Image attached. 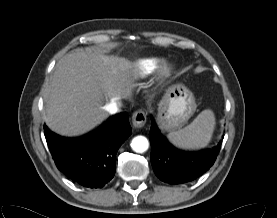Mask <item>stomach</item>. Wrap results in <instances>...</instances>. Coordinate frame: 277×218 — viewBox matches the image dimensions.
<instances>
[{
    "mask_svg": "<svg viewBox=\"0 0 277 218\" xmlns=\"http://www.w3.org/2000/svg\"><path fill=\"white\" fill-rule=\"evenodd\" d=\"M158 106L157 120L164 131L182 127L197 107L194 95L182 84L170 86Z\"/></svg>",
    "mask_w": 277,
    "mask_h": 218,
    "instance_id": "obj_1",
    "label": "stomach"
}]
</instances>
